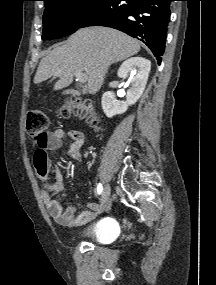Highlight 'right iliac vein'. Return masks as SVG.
Returning a JSON list of instances; mask_svg holds the SVG:
<instances>
[{
	"label": "right iliac vein",
	"mask_w": 216,
	"mask_h": 285,
	"mask_svg": "<svg viewBox=\"0 0 216 285\" xmlns=\"http://www.w3.org/2000/svg\"><path fill=\"white\" fill-rule=\"evenodd\" d=\"M110 192H111L110 185L106 184L102 191L101 205H104L108 201Z\"/></svg>",
	"instance_id": "1"
}]
</instances>
